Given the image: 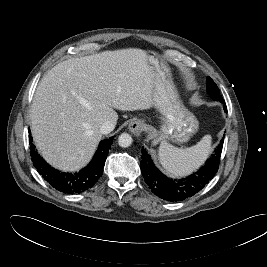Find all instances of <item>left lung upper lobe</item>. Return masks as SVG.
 Wrapping results in <instances>:
<instances>
[{
    "instance_id": "5c2ea615",
    "label": "left lung upper lobe",
    "mask_w": 267,
    "mask_h": 267,
    "mask_svg": "<svg viewBox=\"0 0 267 267\" xmlns=\"http://www.w3.org/2000/svg\"><path fill=\"white\" fill-rule=\"evenodd\" d=\"M207 91L214 100H219L220 102L223 101L217 85L210 77H207Z\"/></svg>"
}]
</instances>
